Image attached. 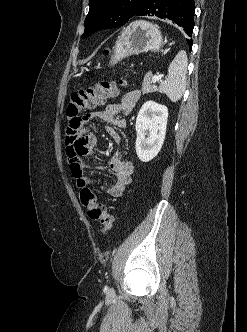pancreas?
Instances as JSON below:
<instances>
[{"label":"pancreas","mask_w":247,"mask_h":332,"mask_svg":"<svg viewBox=\"0 0 247 332\" xmlns=\"http://www.w3.org/2000/svg\"><path fill=\"white\" fill-rule=\"evenodd\" d=\"M152 78L153 74L152 72H148L144 80L142 82V94H148L157 91V88L155 85H152Z\"/></svg>","instance_id":"pancreas-1"}]
</instances>
